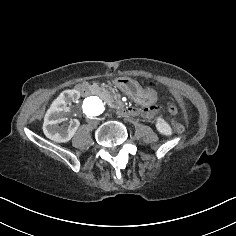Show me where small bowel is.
I'll use <instances>...</instances> for the list:
<instances>
[{
  "label": "small bowel",
  "mask_w": 236,
  "mask_h": 236,
  "mask_svg": "<svg viewBox=\"0 0 236 236\" xmlns=\"http://www.w3.org/2000/svg\"><path fill=\"white\" fill-rule=\"evenodd\" d=\"M145 115L148 118H154L156 115V109L154 107H151L145 111Z\"/></svg>",
  "instance_id": "obj_1"
}]
</instances>
